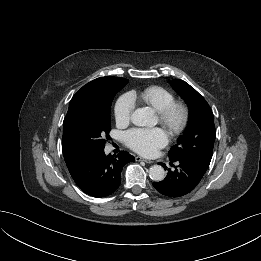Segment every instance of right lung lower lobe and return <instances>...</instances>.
Masks as SVG:
<instances>
[{"label":"right lung lower lobe","instance_id":"right-lung-lower-lobe-1","mask_svg":"<svg viewBox=\"0 0 261 261\" xmlns=\"http://www.w3.org/2000/svg\"><path fill=\"white\" fill-rule=\"evenodd\" d=\"M132 161L135 158L126 151L107 156L102 149L70 161L67 167L84 193L93 197H106L117 190L123 167Z\"/></svg>","mask_w":261,"mask_h":261}]
</instances>
